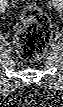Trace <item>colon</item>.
Segmentation results:
<instances>
[{"label":"colon","instance_id":"5ec220e1","mask_svg":"<svg viewBox=\"0 0 63 107\" xmlns=\"http://www.w3.org/2000/svg\"><path fill=\"white\" fill-rule=\"evenodd\" d=\"M22 26L15 36L19 55L28 61L40 58L49 43L51 28L48 17L35 5L27 6L22 13Z\"/></svg>","mask_w":63,"mask_h":107}]
</instances>
